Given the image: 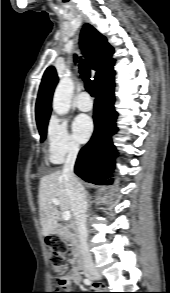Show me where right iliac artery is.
<instances>
[{"instance_id":"82829eb1","label":"right iliac artery","mask_w":170,"mask_h":293,"mask_svg":"<svg viewBox=\"0 0 170 293\" xmlns=\"http://www.w3.org/2000/svg\"><path fill=\"white\" fill-rule=\"evenodd\" d=\"M84 283L86 285H90V284H92V281L90 279H84Z\"/></svg>"}]
</instances>
